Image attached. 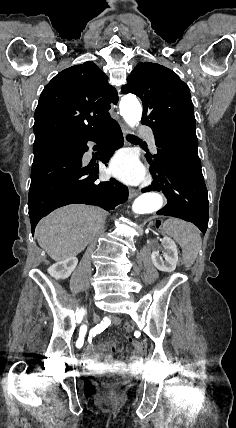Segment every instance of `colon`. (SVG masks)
I'll return each mask as SVG.
<instances>
[{
	"label": "colon",
	"instance_id": "5ec220e1",
	"mask_svg": "<svg viewBox=\"0 0 236 428\" xmlns=\"http://www.w3.org/2000/svg\"><path fill=\"white\" fill-rule=\"evenodd\" d=\"M124 329H125V331H130L131 330V325L129 324V323H126L125 325H124Z\"/></svg>",
	"mask_w": 236,
	"mask_h": 428
}]
</instances>
